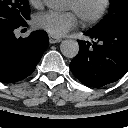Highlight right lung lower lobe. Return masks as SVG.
<instances>
[{"instance_id":"98d812e1","label":"right lung lower lobe","mask_w":128,"mask_h":128,"mask_svg":"<svg viewBox=\"0 0 128 128\" xmlns=\"http://www.w3.org/2000/svg\"><path fill=\"white\" fill-rule=\"evenodd\" d=\"M18 27L0 25V81L4 83L18 82L29 76L48 46L45 31L32 32L22 39L15 37L14 30Z\"/></svg>"}]
</instances>
